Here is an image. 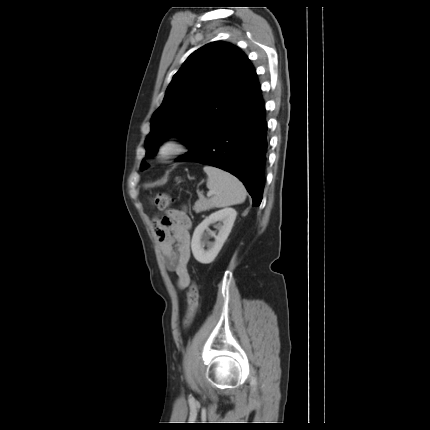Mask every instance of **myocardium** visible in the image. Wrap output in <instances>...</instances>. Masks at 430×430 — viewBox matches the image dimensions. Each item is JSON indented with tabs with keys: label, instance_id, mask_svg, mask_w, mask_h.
<instances>
[{
	"label": "myocardium",
	"instance_id": "1",
	"mask_svg": "<svg viewBox=\"0 0 430 430\" xmlns=\"http://www.w3.org/2000/svg\"><path fill=\"white\" fill-rule=\"evenodd\" d=\"M184 152L185 145L182 140L179 137H170L158 148L157 158L162 163H167Z\"/></svg>",
	"mask_w": 430,
	"mask_h": 430
}]
</instances>
